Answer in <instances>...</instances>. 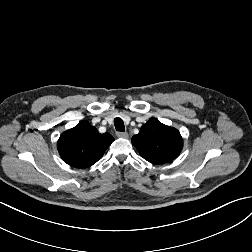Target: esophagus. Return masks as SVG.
<instances>
[{
    "label": "esophagus",
    "mask_w": 252,
    "mask_h": 252,
    "mask_svg": "<svg viewBox=\"0 0 252 252\" xmlns=\"http://www.w3.org/2000/svg\"><path fill=\"white\" fill-rule=\"evenodd\" d=\"M116 135L120 138H128V133L127 132H117Z\"/></svg>",
    "instance_id": "34e87169"
}]
</instances>
